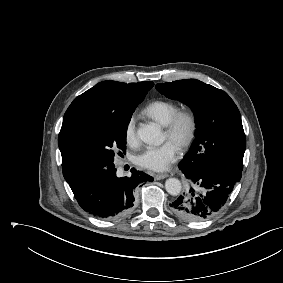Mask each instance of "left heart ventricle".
Here are the masks:
<instances>
[{
    "mask_svg": "<svg viewBox=\"0 0 283 283\" xmlns=\"http://www.w3.org/2000/svg\"><path fill=\"white\" fill-rule=\"evenodd\" d=\"M164 139H166V140H169V138H168V136H167V134L165 133L164 134ZM171 141V140H170ZM172 142H174L175 144H176V142L175 141H172ZM177 145V144H176Z\"/></svg>",
    "mask_w": 283,
    "mask_h": 283,
    "instance_id": "left-heart-ventricle-1",
    "label": "left heart ventricle"
}]
</instances>
